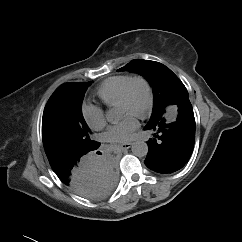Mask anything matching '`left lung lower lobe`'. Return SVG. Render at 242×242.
<instances>
[{
  "instance_id": "left-lung-lower-lobe-1",
  "label": "left lung lower lobe",
  "mask_w": 242,
  "mask_h": 242,
  "mask_svg": "<svg viewBox=\"0 0 242 242\" xmlns=\"http://www.w3.org/2000/svg\"><path fill=\"white\" fill-rule=\"evenodd\" d=\"M178 115L167 120L163 114L145 126L154 130L155 138L148 141L145 165L161 174L180 170L190 158L195 141V118L189 98L176 103Z\"/></svg>"
}]
</instances>
